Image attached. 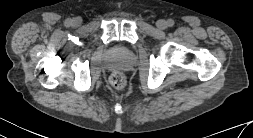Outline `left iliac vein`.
Wrapping results in <instances>:
<instances>
[{
	"label": "left iliac vein",
	"instance_id": "4c4485c4",
	"mask_svg": "<svg viewBox=\"0 0 253 138\" xmlns=\"http://www.w3.org/2000/svg\"><path fill=\"white\" fill-rule=\"evenodd\" d=\"M156 26L161 29V30H164L167 28V22L163 19H160L156 22Z\"/></svg>",
	"mask_w": 253,
	"mask_h": 138
}]
</instances>
